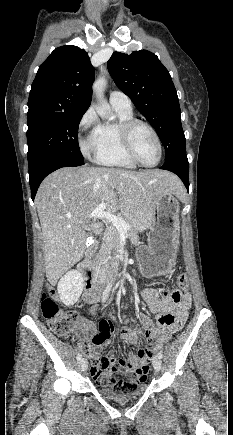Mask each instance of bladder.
I'll return each instance as SVG.
<instances>
[{"label": "bladder", "mask_w": 233, "mask_h": 435, "mask_svg": "<svg viewBox=\"0 0 233 435\" xmlns=\"http://www.w3.org/2000/svg\"><path fill=\"white\" fill-rule=\"evenodd\" d=\"M98 390L102 395L110 400L126 401L134 399L143 394L146 390V386L145 384H140L139 386L135 387L131 392H123L114 386L99 385Z\"/></svg>", "instance_id": "obj_1"}]
</instances>
